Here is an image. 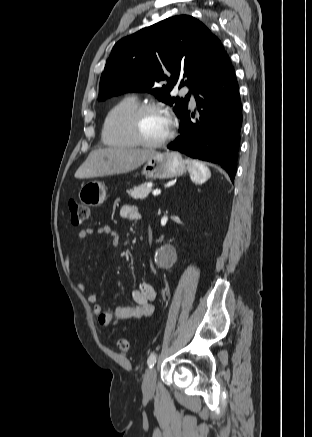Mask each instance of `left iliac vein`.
<instances>
[{
	"label": "left iliac vein",
	"instance_id": "1",
	"mask_svg": "<svg viewBox=\"0 0 312 437\" xmlns=\"http://www.w3.org/2000/svg\"><path fill=\"white\" fill-rule=\"evenodd\" d=\"M157 372L155 368H150L144 377L142 390L146 396H152L155 392Z\"/></svg>",
	"mask_w": 312,
	"mask_h": 437
}]
</instances>
